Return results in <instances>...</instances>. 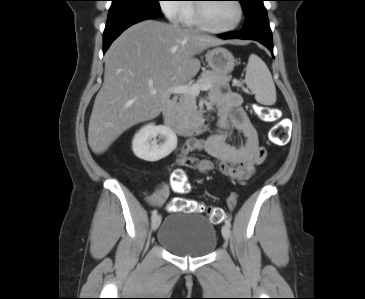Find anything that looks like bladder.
Listing matches in <instances>:
<instances>
[{
    "label": "bladder",
    "instance_id": "31cf9c89",
    "mask_svg": "<svg viewBox=\"0 0 365 299\" xmlns=\"http://www.w3.org/2000/svg\"><path fill=\"white\" fill-rule=\"evenodd\" d=\"M158 243L171 254L204 257L218 244L215 224L203 215L176 212L170 214L157 232Z\"/></svg>",
    "mask_w": 365,
    "mask_h": 299
}]
</instances>
